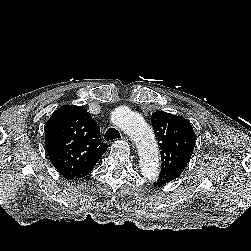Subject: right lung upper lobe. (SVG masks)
Listing matches in <instances>:
<instances>
[{
	"instance_id": "cb5924a9",
	"label": "right lung upper lobe",
	"mask_w": 251,
	"mask_h": 251,
	"mask_svg": "<svg viewBox=\"0 0 251 251\" xmlns=\"http://www.w3.org/2000/svg\"><path fill=\"white\" fill-rule=\"evenodd\" d=\"M100 128L82 106L58 108L45 126V147L52 165L66 179L92 171L107 150Z\"/></svg>"
}]
</instances>
